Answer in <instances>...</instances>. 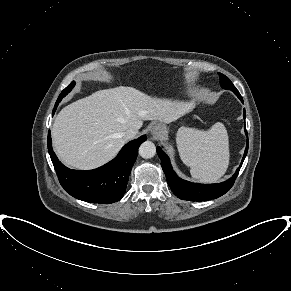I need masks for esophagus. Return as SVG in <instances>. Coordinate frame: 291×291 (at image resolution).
I'll return each instance as SVG.
<instances>
[{"mask_svg":"<svg viewBox=\"0 0 291 291\" xmlns=\"http://www.w3.org/2000/svg\"><path fill=\"white\" fill-rule=\"evenodd\" d=\"M164 134V127L161 124H154L151 128V136L153 140H158Z\"/></svg>","mask_w":291,"mask_h":291,"instance_id":"esophagus-1","label":"esophagus"}]
</instances>
